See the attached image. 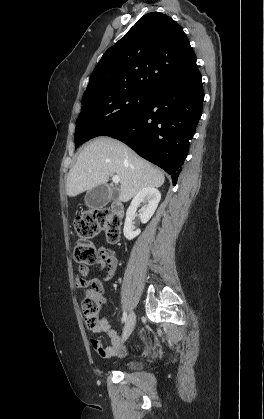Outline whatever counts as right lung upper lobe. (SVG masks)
Returning <instances> with one entry per match:
<instances>
[{
  "label": "right lung upper lobe",
  "instance_id": "obj_1",
  "mask_svg": "<svg viewBox=\"0 0 264 419\" xmlns=\"http://www.w3.org/2000/svg\"><path fill=\"white\" fill-rule=\"evenodd\" d=\"M196 56L181 26L153 12L141 17L102 56L83 95L141 88L152 91L199 75Z\"/></svg>",
  "mask_w": 264,
  "mask_h": 419
}]
</instances>
